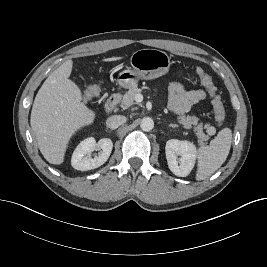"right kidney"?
<instances>
[{
    "label": "right kidney",
    "instance_id": "right-kidney-1",
    "mask_svg": "<svg viewBox=\"0 0 267 267\" xmlns=\"http://www.w3.org/2000/svg\"><path fill=\"white\" fill-rule=\"evenodd\" d=\"M113 142L109 138H102L97 143L93 137L83 140L74 150L71 165L76 170L87 171L103 165L109 158ZM101 150L98 156L92 158L91 152Z\"/></svg>",
    "mask_w": 267,
    "mask_h": 267
}]
</instances>
